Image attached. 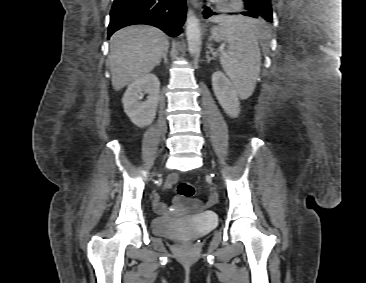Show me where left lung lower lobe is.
Listing matches in <instances>:
<instances>
[{"mask_svg": "<svg viewBox=\"0 0 366 283\" xmlns=\"http://www.w3.org/2000/svg\"><path fill=\"white\" fill-rule=\"evenodd\" d=\"M243 1H244V5H245V8L247 11L241 12V14H243L245 16L253 17V18H259L260 13L253 10V7H252L250 1H247V0H243ZM216 14L217 13L213 12L209 7H205L204 12H203L204 18H206V19L211 16H214Z\"/></svg>", "mask_w": 366, "mask_h": 283, "instance_id": "left-lung-lower-lobe-1", "label": "left lung lower lobe"}]
</instances>
